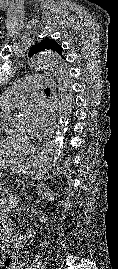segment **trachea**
<instances>
[{
	"instance_id": "1",
	"label": "trachea",
	"mask_w": 118,
	"mask_h": 269,
	"mask_svg": "<svg viewBox=\"0 0 118 269\" xmlns=\"http://www.w3.org/2000/svg\"><path fill=\"white\" fill-rule=\"evenodd\" d=\"M44 92L49 93V92H50V88H46V89L44 90Z\"/></svg>"
}]
</instances>
